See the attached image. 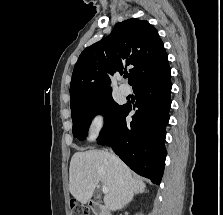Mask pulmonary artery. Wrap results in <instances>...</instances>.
Returning a JSON list of instances; mask_svg holds the SVG:
<instances>
[{"mask_svg": "<svg viewBox=\"0 0 223 215\" xmlns=\"http://www.w3.org/2000/svg\"><path fill=\"white\" fill-rule=\"evenodd\" d=\"M119 90L124 95L129 94V87L125 84L120 85Z\"/></svg>", "mask_w": 223, "mask_h": 215, "instance_id": "obj_1", "label": "pulmonary artery"}]
</instances>
